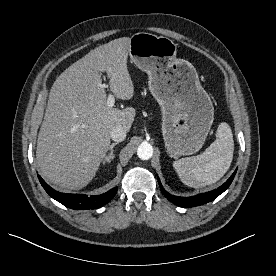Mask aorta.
<instances>
[{
    "mask_svg": "<svg viewBox=\"0 0 276 276\" xmlns=\"http://www.w3.org/2000/svg\"><path fill=\"white\" fill-rule=\"evenodd\" d=\"M137 155L141 160H149L153 155V147L147 142H143L137 149Z\"/></svg>",
    "mask_w": 276,
    "mask_h": 276,
    "instance_id": "1",
    "label": "aorta"
}]
</instances>
